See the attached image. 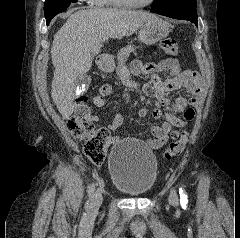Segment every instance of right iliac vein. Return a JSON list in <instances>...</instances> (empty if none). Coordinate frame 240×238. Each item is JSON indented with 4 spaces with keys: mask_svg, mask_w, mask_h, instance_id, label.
I'll list each match as a JSON object with an SVG mask.
<instances>
[{
    "mask_svg": "<svg viewBox=\"0 0 240 238\" xmlns=\"http://www.w3.org/2000/svg\"><path fill=\"white\" fill-rule=\"evenodd\" d=\"M102 192L100 189L96 190L92 196L90 206H89V214L94 215L99 210V207L102 204Z\"/></svg>",
    "mask_w": 240,
    "mask_h": 238,
    "instance_id": "63e3f726",
    "label": "right iliac vein"
}]
</instances>
